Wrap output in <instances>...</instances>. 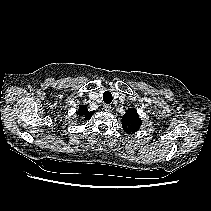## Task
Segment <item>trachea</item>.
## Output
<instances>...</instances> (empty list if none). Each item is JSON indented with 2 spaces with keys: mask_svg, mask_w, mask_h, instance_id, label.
Returning a JSON list of instances; mask_svg holds the SVG:
<instances>
[{
  "mask_svg": "<svg viewBox=\"0 0 211 211\" xmlns=\"http://www.w3.org/2000/svg\"><path fill=\"white\" fill-rule=\"evenodd\" d=\"M103 100L106 104H110L113 100L112 94L109 91L103 93Z\"/></svg>",
  "mask_w": 211,
  "mask_h": 211,
  "instance_id": "trachea-1",
  "label": "trachea"
}]
</instances>
